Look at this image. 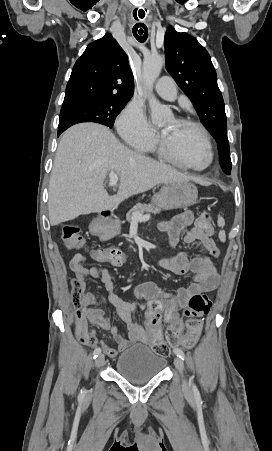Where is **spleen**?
Wrapping results in <instances>:
<instances>
[{
    "instance_id": "3e777b00",
    "label": "spleen",
    "mask_w": 272,
    "mask_h": 451,
    "mask_svg": "<svg viewBox=\"0 0 272 451\" xmlns=\"http://www.w3.org/2000/svg\"><path fill=\"white\" fill-rule=\"evenodd\" d=\"M217 226H219V227L225 226V220H224V218H222V216H218ZM218 235H219L220 241H226V233H225L224 229H221V231H219Z\"/></svg>"
}]
</instances>
